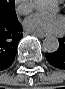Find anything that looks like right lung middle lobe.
<instances>
[{"label": "right lung middle lobe", "instance_id": "right-lung-middle-lobe-1", "mask_svg": "<svg viewBox=\"0 0 65 89\" xmlns=\"http://www.w3.org/2000/svg\"><path fill=\"white\" fill-rule=\"evenodd\" d=\"M15 0H0V21H16Z\"/></svg>", "mask_w": 65, "mask_h": 89}]
</instances>
